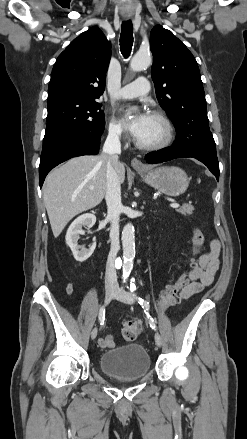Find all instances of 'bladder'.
I'll use <instances>...</instances> for the list:
<instances>
[{"mask_svg":"<svg viewBox=\"0 0 247 439\" xmlns=\"http://www.w3.org/2000/svg\"><path fill=\"white\" fill-rule=\"evenodd\" d=\"M100 368L109 377L120 381H133L144 377L151 362L147 350L140 344H128L104 352Z\"/></svg>","mask_w":247,"mask_h":439,"instance_id":"bladder-1","label":"bladder"}]
</instances>
